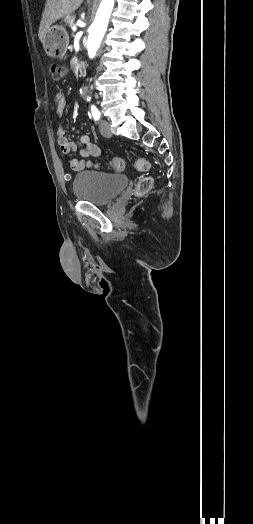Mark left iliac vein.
I'll return each mask as SVG.
<instances>
[{
    "instance_id": "left-iliac-vein-1",
    "label": "left iliac vein",
    "mask_w": 253,
    "mask_h": 524,
    "mask_svg": "<svg viewBox=\"0 0 253 524\" xmlns=\"http://www.w3.org/2000/svg\"><path fill=\"white\" fill-rule=\"evenodd\" d=\"M99 129H100L101 134L104 137H111L112 136L110 123L107 120H101L100 121Z\"/></svg>"
}]
</instances>
